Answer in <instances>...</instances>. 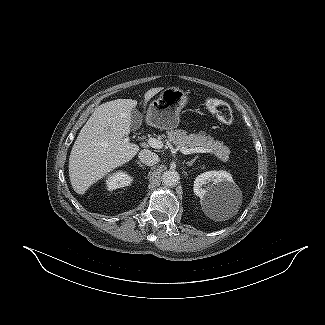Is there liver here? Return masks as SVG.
<instances>
[{
	"label": "liver",
	"mask_w": 325,
	"mask_h": 325,
	"mask_svg": "<svg viewBox=\"0 0 325 325\" xmlns=\"http://www.w3.org/2000/svg\"><path fill=\"white\" fill-rule=\"evenodd\" d=\"M162 89L148 90L144 106ZM136 105V100L117 99L95 108L69 157V177L76 193L84 194L93 183L138 153V145L125 141L130 133L131 111Z\"/></svg>",
	"instance_id": "6515ba94"
}]
</instances>
